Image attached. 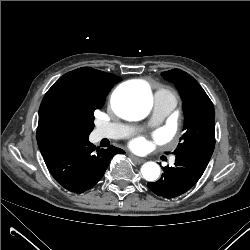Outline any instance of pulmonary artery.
Wrapping results in <instances>:
<instances>
[{
	"mask_svg": "<svg viewBox=\"0 0 250 250\" xmlns=\"http://www.w3.org/2000/svg\"><path fill=\"white\" fill-rule=\"evenodd\" d=\"M176 100L161 94L154 98L153 113L150 120L152 125L161 123L175 108ZM134 131V128L119 123H108L97 129L99 139L102 138H123ZM174 163V159L171 160Z\"/></svg>",
	"mask_w": 250,
	"mask_h": 250,
	"instance_id": "pulmonary-artery-1",
	"label": "pulmonary artery"
}]
</instances>
